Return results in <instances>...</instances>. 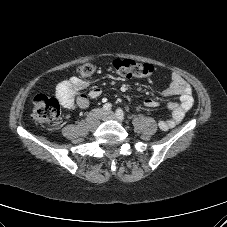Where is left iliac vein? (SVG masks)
Masks as SVG:
<instances>
[{
  "instance_id": "left-iliac-vein-1",
  "label": "left iliac vein",
  "mask_w": 227,
  "mask_h": 227,
  "mask_svg": "<svg viewBox=\"0 0 227 227\" xmlns=\"http://www.w3.org/2000/svg\"><path fill=\"white\" fill-rule=\"evenodd\" d=\"M103 119L104 120L110 119V120L120 121L119 118L116 116V114L114 112H112V111H108V112L104 113Z\"/></svg>"
}]
</instances>
